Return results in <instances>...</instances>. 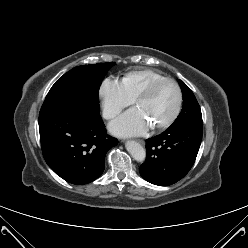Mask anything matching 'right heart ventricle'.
Instances as JSON below:
<instances>
[{"label": "right heart ventricle", "instance_id": "1", "mask_svg": "<svg viewBox=\"0 0 248 248\" xmlns=\"http://www.w3.org/2000/svg\"><path fill=\"white\" fill-rule=\"evenodd\" d=\"M164 78L160 73L151 69H142L128 72L122 78V85L127 94L132 98L144 90L153 81Z\"/></svg>", "mask_w": 248, "mask_h": 248}]
</instances>
